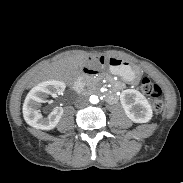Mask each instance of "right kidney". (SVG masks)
Returning a JSON list of instances; mask_svg holds the SVG:
<instances>
[{"mask_svg": "<svg viewBox=\"0 0 183 183\" xmlns=\"http://www.w3.org/2000/svg\"><path fill=\"white\" fill-rule=\"evenodd\" d=\"M65 89V84L58 80H49L35 86L27 95L23 104V116L27 124L41 129L51 130L56 127L63 115V108L56 107L52 112L44 117L41 114L40 107L46 103L48 95H56Z\"/></svg>", "mask_w": 183, "mask_h": 183, "instance_id": "1", "label": "right kidney"}]
</instances>
